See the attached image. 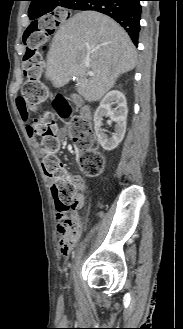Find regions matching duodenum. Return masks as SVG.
Masks as SVG:
<instances>
[{
    "label": "duodenum",
    "instance_id": "obj_1",
    "mask_svg": "<svg viewBox=\"0 0 183 329\" xmlns=\"http://www.w3.org/2000/svg\"><path fill=\"white\" fill-rule=\"evenodd\" d=\"M71 103L74 106H77L80 108V114L83 119L88 120L90 118V110L87 105H85L81 98L78 95H74L71 97Z\"/></svg>",
    "mask_w": 183,
    "mask_h": 329
}]
</instances>
